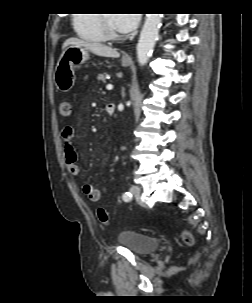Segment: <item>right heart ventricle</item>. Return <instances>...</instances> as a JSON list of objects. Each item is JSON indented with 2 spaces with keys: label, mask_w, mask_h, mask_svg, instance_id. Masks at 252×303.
<instances>
[{
  "label": "right heart ventricle",
  "mask_w": 252,
  "mask_h": 303,
  "mask_svg": "<svg viewBox=\"0 0 252 303\" xmlns=\"http://www.w3.org/2000/svg\"><path fill=\"white\" fill-rule=\"evenodd\" d=\"M77 33L88 40L100 42L106 37L101 26L100 14H78L73 19Z\"/></svg>",
  "instance_id": "e07e8e85"
}]
</instances>
